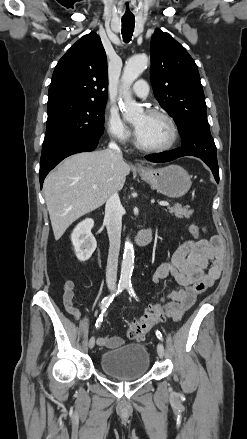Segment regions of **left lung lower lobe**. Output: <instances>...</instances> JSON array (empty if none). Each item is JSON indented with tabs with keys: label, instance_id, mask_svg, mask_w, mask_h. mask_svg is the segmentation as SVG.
Returning a JSON list of instances; mask_svg holds the SVG:
<instances>
[{
	"label": "left lung lower lobe",
	"instance_id": "0a47b994",
	"mask_svg": "<svg viewBox=\"0 0 247 439\" xmlns=\"http://www.w3.org/2000/svg\"><path fill=\"white\" fill-rule=\"evenodd\" d=\"M182 156H186V154L181 149H177V150L165 151L162 153L148 155L145 156V159L151 162L158 163V162H169ZM212 172L215 177V180L219 182V170H212Z\"/></svg>",
	"mask_w": 247,
	"mask_h": 439
}]
</instances>
